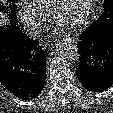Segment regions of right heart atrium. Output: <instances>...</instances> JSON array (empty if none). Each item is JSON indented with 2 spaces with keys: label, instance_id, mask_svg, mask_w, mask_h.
<instances>
[{
  "label": "right heart atrium",
  "instance_id": "d8ad5b80",
  "mask_svg": "<svg viewBox=\"0 0 113 113\" xmlns=\"http://www.w3.org/2000/svg\"><path fill=\"white\" fill-rule=\"evenodd\" d=\"M17 13L24 27L31 34H37L40 32L45 24L46 15L29 7L28 5H19Z\"/></svg>",
  "mask_w": 113,
  "mask_h": 113
}]
</instances>
